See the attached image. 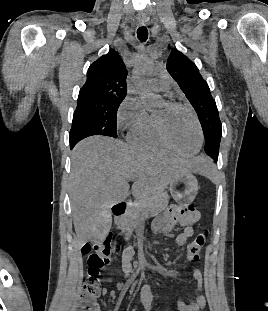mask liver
Listing matches in <instances>:
<instances>
[{"label":"liver","instance_id":"liver-1","mask_svg":"<svg viewBox=\"0 0 268 311\" xmlns=\"http://www.w3.org/2000/svg\"><path fill=\"white\" fill-rule=\"evenodd\" d=\"M203 157L191 160L140 152L121 140L91 136L72 151L70 199L79 247L97 232L101 217L113 205L132 195L145 199L161 194L172 180L187 172L204 173Z\"/></svg>","mask_w":268,"mask_h":311}]
</instances>
